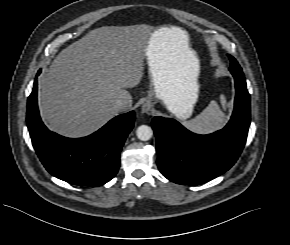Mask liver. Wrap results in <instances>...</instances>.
<instances>
[{"label": "liver", "instance_id": "6515ba94", "mask_svg": "<svg viewBox=\"0 0 290 245\" xmlns=\"http://www.w3.org/2000/svg\"><path fill=\"white\" fill-rule=\"evenodd\" d=\"M157 34V57L172 78L198 76L199 60L189 47L187 32L163 27ZM151 36L138 27L107 26L63 49L38 85L39 110L48 127L64 136H84L118 114L116 100L130 109L127 88L142 79Z\"/></svg>", "mask_w": 290, "mask_h": 245}]
</instances>
